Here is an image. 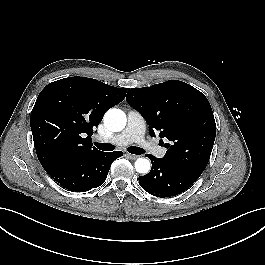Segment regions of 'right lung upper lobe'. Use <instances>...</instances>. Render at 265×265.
<instances>
[{"mask_svg":"<svg viewBox=\"0 0 265 265\" xmlns=\"http://www.w3.org/2000/svg\"><path fill=\"white\" fill-rule=\"evenodd\" d=\"M127 90L78 76L48 84L30 116L33 141L43 168L101 152L93 147V128L109 108L123 101ZM85 135L88 137L83 138Z\"/></svg>","mask_w":265,"mask_h":265,"instance_id":"right-lung-upper-lobe-1","label":"right lung upper lobe"}]
</instances>
